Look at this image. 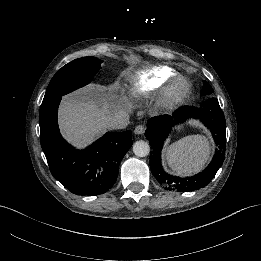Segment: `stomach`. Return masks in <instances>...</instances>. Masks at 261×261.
<instances>
[{"instance_id": "stomach-1", "label": "stomach", "mask_w": 261, "mask_h": 261, "mask_svg": "<svg viewBox=\"0 0 261 261\" xmlns=\"http://www.w3.org/2000/svg\"><path fill=\"white\" fill-rule=\"evenodd\" d=\"M177 129L180 131L182 129V126H178Z\"/></svg>"}]
</instances>
